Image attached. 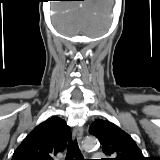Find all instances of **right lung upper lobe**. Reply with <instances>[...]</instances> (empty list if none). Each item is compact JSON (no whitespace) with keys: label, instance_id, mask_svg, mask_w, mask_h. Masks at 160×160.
<instances>
[{"label":"right lung upper lobe","instance_id":"obj_1","mask_svg":"<svg viewBox=\"0 0 160 160\" xmlns=\"http://www.w3.org/2000/svg\"><path fill=\"white\" fill-rule=\"evenodd\" d=\"M71 139V130L59 117H52L39 124L14 151L12 160H53L65 150Z\"/></svg>","mask_w":160,"mask_h":160}]
</instances>
